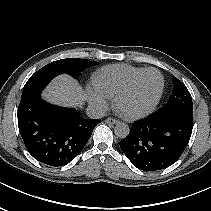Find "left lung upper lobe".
I'll return each mask as SVG.
<instances>
[{
  "label": "left lung upper lobe",
  "instance_id": "left-lung-upper-lobe-1",
  "mask_svg": "<svg viewBox=\"0 0 211 211\" xmlns=\"http://www.w3.org/2000/svg\"><path fill=\"white\" fill-rule=\"evenodd\" d=\"M173 92L168 102L154 116L183 115L193 119V103L186 86L173 76Z\"/></svg>",
  "mask_w": 211,
  "mask_h": 211
}]
</instances>
